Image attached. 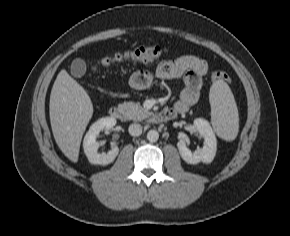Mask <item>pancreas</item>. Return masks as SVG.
Here are the masks:
<instances>
[{"instance_id": "cf45deb5", "label": "pancreas", "mask_w": 290, "mask_h": 236, "mask_svg": "<svg viewBox=\"0 0 290 236\" xmlns=\"http://www.w3.org/2000/svg\"><path fill=\"white\" fill-rule=\"evenodd\" d=\"M118 108L128 119L131 120H143L151 115V112L134 102H124L119 104Z\"/></svg>"}]
</instances>
